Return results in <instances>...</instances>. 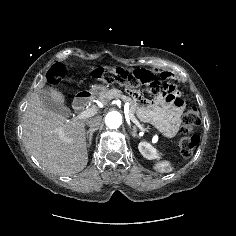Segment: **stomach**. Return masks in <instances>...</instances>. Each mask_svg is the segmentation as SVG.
Returning <instances> with one entry per match:
<instances>
[{"instance_id": "1", "label": "stomach", "mask_w": 236, "mask_h": 236, "mask_svg": "<svg viewBox=\"0 0 236 236\" xmlns=\"http://www.w3.org/2000/svg\"><path fill=\"white\" fill-rule=\"evenodd\" d=\"M107 90V87L104 85H93L92 88L87 91V93H77V98L79 97H88V96H101L103 95Z\"/></svg>"}]
</instances>
